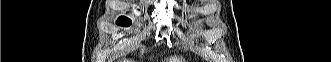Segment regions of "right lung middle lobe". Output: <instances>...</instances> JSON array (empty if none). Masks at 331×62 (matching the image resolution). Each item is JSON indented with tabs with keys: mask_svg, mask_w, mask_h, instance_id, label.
I'll return each instance as SVG.
<instances>
[{
	"mask_svg": "<svg viewBox=\"0 0 331 62\" xmlns=\"http://www.w3.org/2000/svg\"><path fill=\"white\" fill-rule=\"evenodd\" d=\"M117 24L121 26H129L131 24V20L126 17H120Z\"/></svg>",
	"mask_w": 331,
	"mask_h": 62,
	"instance_id": "right-lung-middle-lobe-1",
	"label": "right lung middle lobe"
}]
</instances>
